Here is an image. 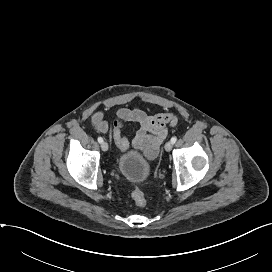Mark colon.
<instances>
[{"label": "colon", "instance_id": "1", "mask_svg": "<svg viewBox=\"0 0 272 272\" xmlns=\"http://www.w3.org/2000/svg\"><path fill=\"white\" fill-rule=\"evenodd\" d=\"M132 199L134 200L135 204L139 207H144L147 204V200L144 193L137 187L133 188L132 190Z\"/></svg>", "mask_w": 272, "mask_h": 272}]
</instances>
